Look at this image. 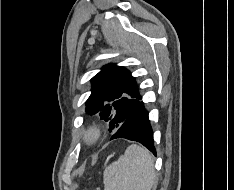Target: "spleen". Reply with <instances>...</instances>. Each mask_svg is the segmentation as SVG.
<instances>
[{"label": "spleen", "instance_id": "obj_1", "mask_svg": "<svg viewBox=\"0 0 234 190\" xmlns=\"http://www.w3.org/2000/svg\"><path fill=\"white\" fill-rule=\"evenodd\" d=\"M155 176L151 153L133 144L105 169L104 190H151Z\"/></svg>", "mask_w": 234, "mask_h": 190}]
</instances>
